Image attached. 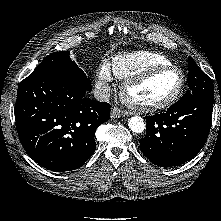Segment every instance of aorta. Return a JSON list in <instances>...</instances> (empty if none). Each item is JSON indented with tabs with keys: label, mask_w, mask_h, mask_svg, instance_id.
I'll return each instance as SVG.
<instances>
[{
	"label": "aorta",
	"mask_w": 221,
	"mask_h": 221,
	"mask_svg": "<svg viewBox=\"0 0 221 221\" xmlns=\"http://www.w3.org/2000/svg\"><path fill=\"white\" fill-rule=\"evenodd\" d=\"M128 126L132 132L141 133L145 129V123L140 116L131 117L128 121Z\"/></svg>",
	"instance_id": "obj_1"
}]
</instances>
